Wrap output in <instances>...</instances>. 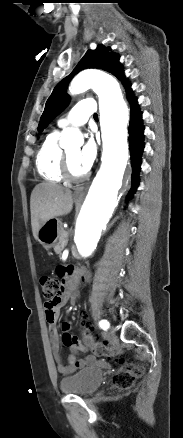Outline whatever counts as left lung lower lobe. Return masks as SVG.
Returning a JSON list of instances; mask_svg holds the SVG:
<instances>
[{"instance_id": "0a47b994", "label": "left lung lower lobe", "mask_w": 183, "mask_h": 438, "mask_svg": "<svg viewBox=\"0 0 183 438\" xmlns=\"http://www.w3.org/2000/svg\"><path fill=\"white\" fill-rule=\"evenodd\" d=\"M128 95V101L131 105V117L129 124V143H130V155L132 164V188L129 192V196L133 195L135 189L139 183V169L141 165V154L144 148L143 143V131L142 125V113L140 112L137 104V99L132 95L130 84L125 85Z\"/></svg>"}]
</instances>
